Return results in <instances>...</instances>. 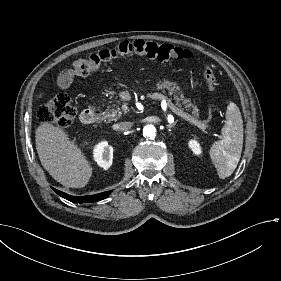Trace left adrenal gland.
<instances>
[{"mask_svg": "<svg viewBox=\"0 0 281 281\" xmlns=\"http://www.w3.org/2000/svg\"><path fill=\"white\" fill-rule=\"evenodd\" d=\"M177 122H178V121H176V122L173 123V124H168V125H167V128H170V129H171V128L175 127L176 124H177Z\"/></svg>", "mask_w": 281, "mask_h": 281, "instance_id": "1", "label": "left adrenal gland"}]
</instances>
